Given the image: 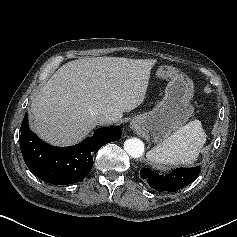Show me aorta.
I'll return each mask as SVG.
<instances>
[{"label":"aorta","mask_w":237,"mask_h":237,"mask_svg":"<svg viewBox=\"0 0 237 237\" xmlns=\"http://www.w3.org/2000/svg\"><path fill=\"white\" fill-rule=\"evenodd\" d=\"M124 150L129 156L139 158L144 153V143L138 138H130L124 142Z\"/></svg>","instance_id":"aorta-1"}]
</instances>
